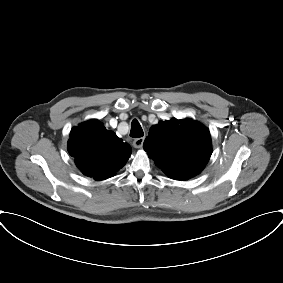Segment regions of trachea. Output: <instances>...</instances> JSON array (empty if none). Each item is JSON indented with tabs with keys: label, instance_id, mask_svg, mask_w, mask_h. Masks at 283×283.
<instances>
[{
	"label": "trachea",
	"instance_id": "1",
	"mask_svg": "<svg viewBox=\"0 0 283 283\" xmlns=\"http://www.w3.org/2000/svg\"><path fill=\"white\" fill-rule=\"evenodd\" d=\"M144 135L143 130L139 124V122L134 119L131 123V131L130 136L133 138H140Z\"/></svg>",
	"mask_w": 283,
	"mask_h": 283
}]
</instances>
